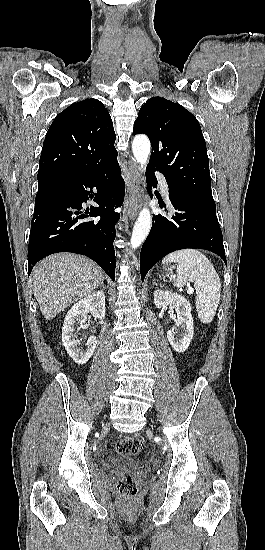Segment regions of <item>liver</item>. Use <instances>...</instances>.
<instances>
[{
  "label": "liver",
  "instance_id": "1",
  "mask_svg": "<svg viewBox=\"0 0 265 550\" xmlns=\"http://www.w3.org/2000/svg\"><path fill=\"white\" fill-rule=\"evenodd\" d=\"M101 268L85 256L57 253L44 258L33 270V292L45 319L95 291L103 282Z\"/></svg>",
  "mask_w": 265,
  "mask_h": 550
}]
</instances>
